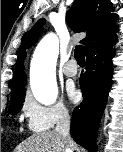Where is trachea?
Instances as JSON below:
<instances>
[{"instance_id": "3493384b", "label": "trachea", "mask_w": 123, "mask_h": 152, "mask_svg": "<svg viewBox=\"0 0 123 152\" xmlns=\"http://www.w3.org/2000/svg\"><path fill=\"white\" fill-rule=\"evenodd\" d=\"M74 57L78 64H84L85 63V56H84V47L83 46H77L74 50Z\"/></svg>"}]
</instances>
